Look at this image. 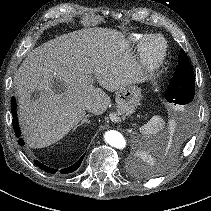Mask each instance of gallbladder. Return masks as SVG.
I'll return each instance as SVG.
<instances>
[{
  "instance_id": "gallbladder-1",
  "label": "gallbladder",
  "mask_w": 211,
  "mask_h": 211,
  "mask_svg": "<svg viewBox=\"0 0 211 211\" xmlns=\"http://www.w3.org/2000/svg\"><path fill=\"white\" fill-rule=\"evenodd\" d=\"M53 84H54V88H55L56 91H59L58 86L63 87V86H62V82H60V81H58V80H55V79H54V81H53Z\"/></svg>"
}]
</instances>
